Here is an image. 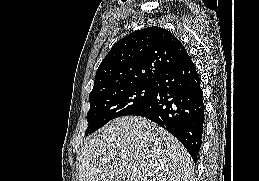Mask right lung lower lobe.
<instances>
[{"mask_svg": "<svg viewBox=\"0 0 259 181\" xmlns=\"http://www.w3.org/2000/svg\"><path fill=\"white\" fill-rule=\"evenodd\" d=\"M148 100L130 115L146 117L173 134L196 162L204 124L199 74L188 56L153 83Z\"/></svg>", "mask_w": 259, "mask_h": 181, "instance_id": "right-lung-lower-lobe-1", "label": "right lung lower lobe"}]
</instances>
